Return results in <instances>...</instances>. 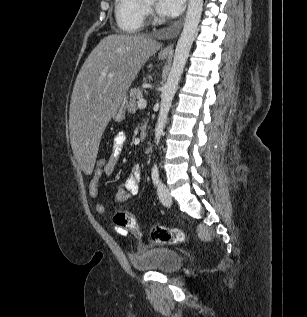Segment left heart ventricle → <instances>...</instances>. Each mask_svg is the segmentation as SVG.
<instances>
[{"mask_svg": "<svg viewBox=\"0 0 307 317\" xmlns=\"http://www.w3.org/2000/svg\"><path fill=\"white\" fill-rule=\"evenodd\" d=\"M151 5L154 4L155 0H147Z\"/></svg>", "mask_w": 307, "mask_h": 317, "instance_id": "left-heart-ventricle-1", "label": "left heart ventricle"}]
</instances>
